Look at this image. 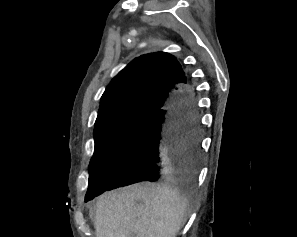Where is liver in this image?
Instances as JSON below:
<instances>
[{"label":"liver","mask_w":297,"mask_h":237,"mask_svg":"<svg viewBox=\"0 0 297 237\" xmlns=\"http://www.w3.org/2000/svg\"><path fill=\"white\" fill-rule=\"evenodd\" d=\"M190 213L176 188L142 183L102 194L90 216L97 237H176Z\"/></svg>","instance_id":"liver-1"}]
</instances>
